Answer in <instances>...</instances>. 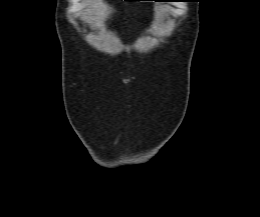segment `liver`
Returning <instances> with one entry per match:
<instances>
[{"mask_svg": "<svg viewBox=\"0 0 260 217\" xmlns=\"http://www.w3.org/2000/svg\"><path fill=\"white\" fill-rule=\"evenodd\" d=\"M111 13V8L105 5L101 0L92 3L86 10V15H93V26L101 28L104 20Z\"/></svg>", "mask_w": 260, "mask_h": 217, "instance_id": "obj_1", "label": "liver"}]
</instances>
